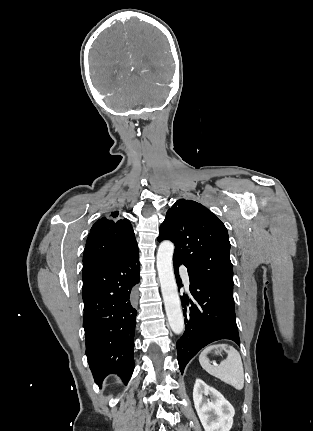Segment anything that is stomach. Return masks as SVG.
<instances>
[{"instance_id":"1","label":"stomach","mask_w":313,"mask_h":431,"mask_svg":"<svg viewBox=\"0 0 313 431\" xmlns=\"http://www.w3.org/2000/svg\"><path fill=\"white\" fill-rule=\"evenodd\" d=\"M215 354H216V355H220V354H221V352H220V351H215Z\"/></svg>"}]
</instances>
